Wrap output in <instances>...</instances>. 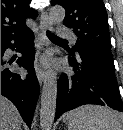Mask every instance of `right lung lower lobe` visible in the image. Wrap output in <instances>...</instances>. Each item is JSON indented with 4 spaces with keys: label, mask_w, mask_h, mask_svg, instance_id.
<instances>
[{
    "label": "right lung lower lobe",
    "mask_w": 123,
    "mask_h": 130,
    "mask_svg": "<svg viewBox=\"0 0 123 130\" xmlns=\"http://www.w3.org/2000/svg\"><path fill=\"white\" fill-rule=\"evenodd\" d=\"M33 37L34 34L30 30L25 35L1 41V95L14 103L29 127L39 96V83L34 70ZM8 48L12 50L17 48L22 54L16 63L28 70L26 77L8 68L13 62L7 60L4 55Z\"/></svg>",
    "instance_id": "1"
}]
</instances>
